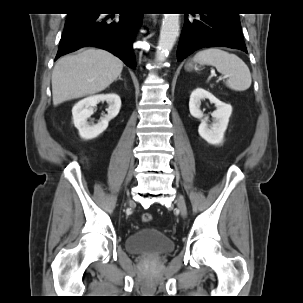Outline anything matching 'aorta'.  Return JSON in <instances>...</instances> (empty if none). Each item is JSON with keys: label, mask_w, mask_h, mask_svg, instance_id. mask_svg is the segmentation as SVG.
Here are the masks:
<instances>
[{"label": "aorta", "mask_w": 303, "mask_h": 303, "mask_svg": "<svg viewBox=\"0 0 303 303\" xmlns=\"http://www.w3.org/2000/svg\"><path fill=\"white\" fill-rule=\"evenodd\" d=\"M179 14H164L156 51L157 61H164L179 35Z\"/></svg>", "instance_id": "obj_1"}]
</instances>
